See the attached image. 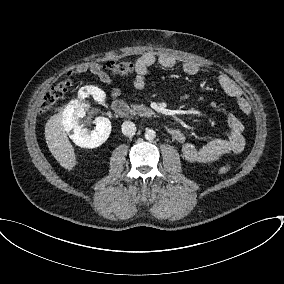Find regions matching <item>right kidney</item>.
<instances>
[{"label": "right kidney", "instance_id": "obj_1", "mask_svg": "<svg viewBox=\"0 0 284 284\" xmlns=\"http://www.w3.org/2000/svg\"><path fill=\"white\" fill-rule=\"evenodd\" d=\"M92 95L98 102H103L105 92L98 87L86 85L78 91V98L84 100ZM84 104L78 100L72 101L63 112V125L73 142L83 148H96L104 143L111 132V122L108 118L97 117L94 121V130H88L80 124V119L85 117Z\"/></svg>", "mask_w": 284, "mask_h": 284}]
</instances>
